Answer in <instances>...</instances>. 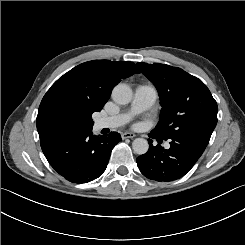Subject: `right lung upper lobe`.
<instances>
[{
	"mask_svg": "<svg viewBox=\"0 0 245 245\" xmlns=\"http://www.w3.org/2000/svg\"><path fill=\"white\" fill-rule=\"evenodd\" d=\"M135 73L140 71L129 61L93 60L71 69L51 86L41 101L36 119L40 139L63 132L57 119L59 110L81 106L100 111L113 87Z\"/></svg>",
	"mask_w": 245,
	"mask_h": 245,
	"instance_id": "right-lung-upper-lobe-1",
	"label": "right lung upper lobe"
}]
</instances>
